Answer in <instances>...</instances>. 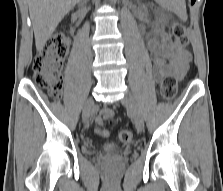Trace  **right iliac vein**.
<instances>
[{
  "mask_svg": "<svg viewBox=\"0 0 223 191\" xmlns=\"http://www.w3.org/2000/svg\"><path fill=\"white\" fill-rule=\"evenodd\" d=\"M94 107V100L92 98H89L83 108V122L85 124L88 123L89 117L91 115L92 109Z\"/></svg>",
  "mask_w": 223,
  "mask_h": 191,
  "instance_id": "right-iliac-vein-1",
  "label": "right iliac vein"
}]
</instances>
